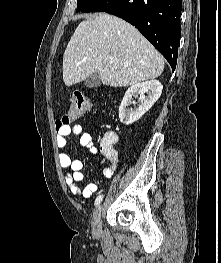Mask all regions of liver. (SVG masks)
<instances>
[{"mask_svg":"<svg viewBox=\"0 0 221 263\" xmlns=\"http://www.w3.org/2000/svg\"><path fill=\"white\" fill-rule=\"evenodd\" d=\"M163 69V57L135 27L106 13L82 21L63 56V81L68 87L94 72L104 85L126 87L155 79Z\"/></svg>","mask_w":221,"mask_h":263,"instance_id":"obj_1","label":"liver"}]
</instances>
